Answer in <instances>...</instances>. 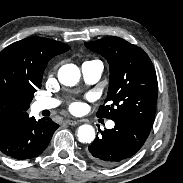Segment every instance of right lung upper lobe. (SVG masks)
I'll use <instances>...</instances> for the list:
<instances>
[{
	"label": "right lung upper lobe",
	"mask_w": 183,
	"mask_h": 183,
	"mask_svg": "<svg viewBox=\"0 0 183 183\" xmlns=\"http://www.w3.org/2000/svg\"><path fill=\"white\" fill-rule=\"evenodd\" d=\"M64 43L44 37H29L0 52V129L29 108L31 91L42 86L47 62L68 51Z\"/></svg>",
	"instance_id": "obj_1"
}]
</instances>
